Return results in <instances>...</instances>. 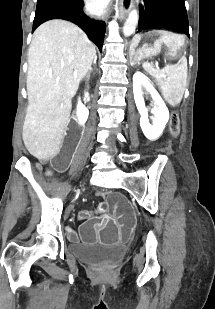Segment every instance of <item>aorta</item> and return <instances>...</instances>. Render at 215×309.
Listing matches in <instances>:
<instances>
[{"label":"aorta","mask_w":215,"mask_h":309,"mask_svg":"<svg viewBox=\"0 0 215 309\" xmlns=\"http://www.w3.org/2000/svg\"><path fill=\"white\" fill-rule=\"evenodd\" d=\"M137 24H138V12L136 8H133V10H130L128 18H126V22L123 26L124 36H130L132 32H135Z\"/></svg>","instance_id":"762f6f07"}]
</instances>
